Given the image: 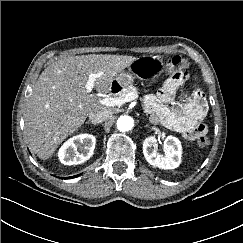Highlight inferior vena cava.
<instances>
[{
	"instance_id": "1",
	"label": "inferior vena cava",
	"mask_w": 243,
	"mask_h": 243,
	"mask_svg": "<svg viewBox=\"0 0 243 243\" xmlns=\"http://www.w3.org/2000/svg\"><path fill=\"white\" fill-rule=\"evenodd\" d=\"M109 115V111L106 108L102 107L94 111H91L89 114V118L92 123H101L106 121Z\"/></svg>"
}]
</instances>
